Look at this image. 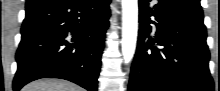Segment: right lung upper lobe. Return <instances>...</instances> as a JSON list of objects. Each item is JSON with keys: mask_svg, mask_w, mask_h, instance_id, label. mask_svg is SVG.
Listing matches in <instances>:
<instances>
[{"mask_svg": "<svg viewBox=\"0 0 220 91\" xmlns=\"http://www.w3.org/2000/svg\"><path fill=\"white\" fill-rule=\"evenodd\" d=\"M32 3H41L47 0H30Z\"/></svg>", "mask_w": 220, "mask_h": 91, "instance_id": "1", "label": "right lung upper lobe"}]
</instances>
